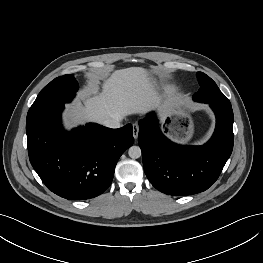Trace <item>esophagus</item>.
<instances>
[{
    "mask_svg": "<svg viewBox=\"0 0 263 263\" xmlns=\"http://www.w3.org/2000/svg\"><path fill=\"white\" fill-rule=\"evenodd\" d=\"M139 133V125L137 123L133 124V137L137 139Z\"/></svg>",
    "mask_w": 263,
    "mask_h": 263,
    "instance_id": "esophagus-1",
    "label": "esophagus"
}]
</instances>
